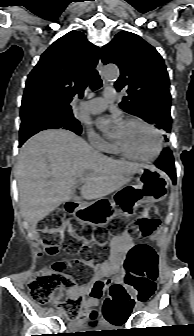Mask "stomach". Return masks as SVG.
Masks as SVG:
<instances>
[{
  "label": "stomach",
  "instance_id": "obj_1",
  "mask_svg": "<svg viewBox=\"0 0 194 336\" xmlns=\"http://www.w3.org/2000/svg\"><path fill=\"white\" fill-rule=\"evenodd\" d=\"M137 173L136 185L120 190L111 202L100 201L91 206H80L74 211L75 218L80 223L104 226L117 214L116 205H121L122 212L129 215L142 204L166 198L168 181L159 170L150 165H142Z\"/></svg>",
  "mask_w": 194,
  "mask_h": 336
}]
</instances>
